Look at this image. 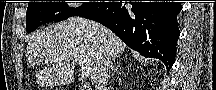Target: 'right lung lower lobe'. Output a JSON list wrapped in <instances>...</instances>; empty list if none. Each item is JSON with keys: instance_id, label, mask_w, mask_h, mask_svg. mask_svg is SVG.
I'll list each match as a JSON object with an SVG mask.
<instances>
[{"instance_id": "98d812e1", "label": "right lung lower lobe", "mask_w": 216, "mask_h": 90, "mask_svg": "<svg viewBox=\"0 0 216 90\" xmlns=\"http://www.w3.org/2000/svg\"><path fill=\"white\" fill-rule=\"evenodd\" d=\"M180 11V2H102L81 17L108 27L141 55L160 59L169 72L180 34Z\"/></svg>"}]
</instances>
